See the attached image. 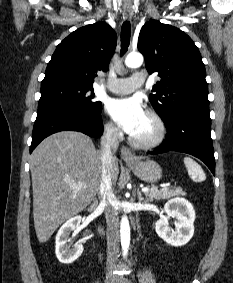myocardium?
I'll use <instances>...</instances> for the list:
<instances>
[{"instance_id": "obj_1", "label": "myocardium", "mask_w": 233, "mask_h": 283, "mask_svg": "<svg viewBox=\"0 0 233 283\" xmlns=\"http://www.w3.org/2000/svg\"><path fill=\"white\" fill-rule=\"evenodd\" d=\"M149 117L153 119V121L156 124L157 132L155 136L149 140H139L132 135L129 136V142L137 148L140 149H153L157 146H159L165 139L167 129L166 124L163 120V118L160 116L159 113H157L155 110L148 109L145 112Z\"/></svg>"}]
</instances>
